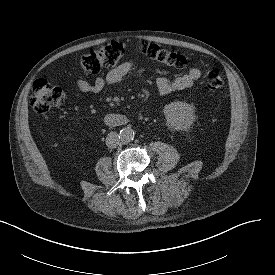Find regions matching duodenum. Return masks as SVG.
I'll return each mask as SVG.
<instances>
[{
	"mask_svg": "<svg viewBox=\"0 0 275 275\" xmlns=\"http://www.w3.org/2000/svg\"><path fill=\"white\" fill-rule=\"evenodd\" d=\"M128 122L129 119L121 115L110 113L104 116V123L108 126H123L128 124Z\"/></svg>",
	"mask_w": 275,
	"mask_h": 275,
	"instance_id": "410a0bca",
	"label": "duodenum"
}]
</instances>
